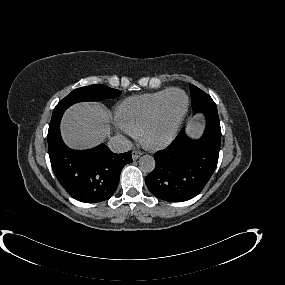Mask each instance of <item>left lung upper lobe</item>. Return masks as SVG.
Wrapping results in <instances>:
<instances>
[{
    "label": "left lung upper lobe",
    "instance_id": "left-lung-upper-lobe-1",
    "mask_svg": "<svg viewBox=\"0 0 285 285\" xmlns=\"http://www.w3.org/2000/svg\"><path fill=\"white\" fill-rule=\"evenodd\" d=\"M190 92H191V102H192V109L194 111L198 110L199 108L209 105L215 104L212 98L203 92L198 87L190 84Z\"/></svg>",
    "mask_w": 285,
    "mask_h": 285
}]
</instances>
